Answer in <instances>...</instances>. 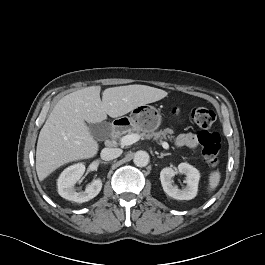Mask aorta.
<instances>
[{
  "mask_svg": "<svg viewBox=\"0 0 265 265\" xmlns=\"http://www.w3.org/2000/svg\"><path fill=\"white\" fill-rule=\"evenodd\" d=\"M133 162L137 167H145L149 163V154L146 151H137L134 154Z\"/></svg>",
  "mask_w": 265,
  "mask_h": 265,
  "instance_id": "762f6f07",
  "label": "aorta"
}]
</instances>
